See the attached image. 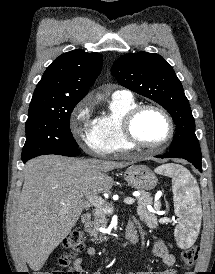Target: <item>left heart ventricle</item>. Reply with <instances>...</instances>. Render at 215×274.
<instances>
[{
    "label": "left heart ventricle",
    "instance_id": "1",
    "mask_svg": "<svg viewBox=\"0 0 215 274\" xmlns=\"http://www.w3.org/2000/svg\"><path fill=\"white\" fill-rule=\"evenodd\" d=\"M135 134L139 140L147 144H156L168 134L166 119L157 111H143L135 121Z\"/></svg>",
    "mask_w": 215,
    "mask_h": 274
}]
</instances>
